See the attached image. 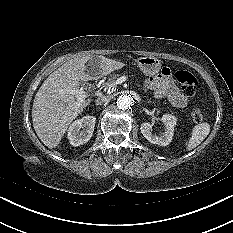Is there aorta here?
Masks as SVG:
<instances>
[{
  "label": "aorta",
  "mask_w": 233,
  "mask_h": 233,
  "mask_svg": "<svg viewBox=\"0 0 233 233\" xmlns=\"http://www.w3.org/2000/svg\"><path fill=\"white\" fill-rule=\"evenodd\" d=\"M133 104H134V100L132 96L127 94L121 95L117 100V106L121 110H127L131 108Z\"/></svg>",
  "instance_id": "762f6f07"
}]
</instances>
